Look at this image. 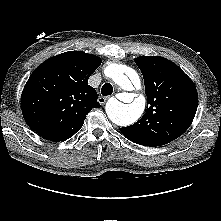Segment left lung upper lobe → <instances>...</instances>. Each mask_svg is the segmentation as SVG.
Masks as SVG:
<instances>
[{
	"label": "left lung upper lobe",
	"instance_id": "left-lung-upper-lobe-1",
	"mask_svg": "<svg viewBox=\"0 0 221 221\" xmlns=\"http://www.w3.org/2000/svg\"><path fill=\"white\" fill-rule=\"evenodd\" d=\"M147 94V109L135 124L120 128L132 142L156 147L180 137L191 125L198 105L192 80L180 67L158 56L135 59Z\"/></svg>",
	"mask_w": 221,
	"mask_h": 221
}]
</instances>
